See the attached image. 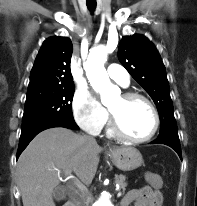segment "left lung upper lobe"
Segmentation results:
<instances>
[{"label": "left lung upper lobe", "mask_w": 197, "mask_h": 206, "mask_svg": "<svg viewBox=\"0 0 197 206\" xmlns=\"http://www.w3.org/2000/svg\"><path fill=\"white\" fill-rule=\"evenodd\" d=\"M118 58L156 104L160 116L158 137L178 138L166 70L156 47L143 35L125 36L119 44Z\"/></svg>", "instance_id": "5c2ea615"}]
</instances>
